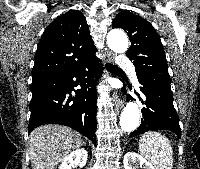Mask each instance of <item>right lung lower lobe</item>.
I'll list each match as a JSON object with an SVG mask.
<instances>
[{"label": "right lung lower lobe", "instance_id": "obj_1", "mask_svg": "<svg viewBox=\"0 0 200 169\" xmlns=\"http://www.w3.org/2000/svg\"><path fill=\"white\" fill-rule=\"evenodd\" d=\"M101 71L94 56L68 73L32 82L28 133L40 125L61 124L75 129L95 144L96 85ZM78 85L81 89L74 90ZM73 90L75 97L71 95Z\"/></svg>", "mask_w": 200, "mask_h": 169}]
</instances>
